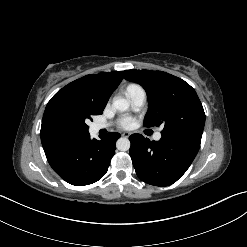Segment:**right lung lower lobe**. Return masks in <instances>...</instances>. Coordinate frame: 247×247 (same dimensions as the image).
Masks as SVG:
<instances>
[{
  "instance_id": "obj_1",
  "label": "right lung lower lobe",
  "mask_w": 247,
  "mask_h": 247,
  "mask_svg": "<svg viewBox=\"0 0 247 247\" xmlns=\"http://www.w3.org/2000/svg\"><path fill=\"white\" fill-rule=\"evenodd\" d=\"M119 137V134L109 133L101 140H91L88 133L79 141L44 151L50 166L63 180L75 186H84L106 174Z\"/></svg>"
}]
</instances>
